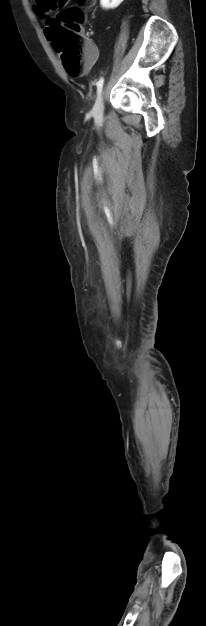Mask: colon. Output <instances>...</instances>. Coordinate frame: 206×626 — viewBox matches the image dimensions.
Segmentation results:
<instances>
[{
  "instance_id": "5ec220e1",
  "label": "colon",
  "mask_w": 206,
  "mask_h": 626,
  "mask_svg": "<svg viewBox=\"0 0 206 626\" xmlns=\"http://www.w3.org/2000/svg\"><path fill=\"white\" fill-rule=\"evenodd\" d=\"M95 0H76V6L70 7L58 18L51 20L50 38L54 49L60 54L66 71L71 76L80 75L86 65L84 38L81 25L85 21L84 8L91 7ZM69 0H42L44 10L63 9Z\"/></svg>"
}]
</instances>
